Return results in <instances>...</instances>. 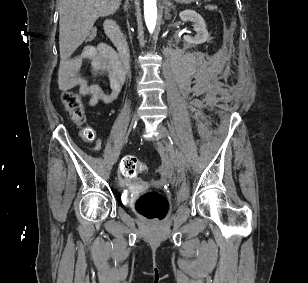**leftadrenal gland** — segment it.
I'll use <instances>...</instances> for the list:
<instances>
[{
	"label": "left adrenal gland",
	"instance_id": "1",
	"mask_svg": "<svg viewBox=\"0 0 308 283\" xmlns=\"http://www.w3.org/2000/svg\"><path fill=\"white\" fill-rule=\"evenodd\" d=\"M163 8H164V18L166 20L171 19L170 9H175V5L171 2V0H163Z\"/></svg>",
	"mask_w": 308,
	"mask_h": 283
}]
</instances>
